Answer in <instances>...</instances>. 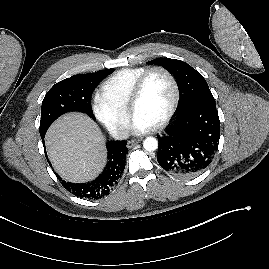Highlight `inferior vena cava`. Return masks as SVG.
Returning <instances> with one entry per match:
<instances>
[{"instance_id":"602c4592","label":"inferior vena cava","mask_w":269,"mask_h":269,"mask_svg":"<svg viewBox=\"0 0 269 269\" xmlns=\"http://www.w3.org/2000/svg\"><path fill=\"white\" fill-rule=\"evenodd\" d=\"M110 133L116 140H125L129 137V131L123 127L115 128Z\"/></svg>"}]
</instances>
